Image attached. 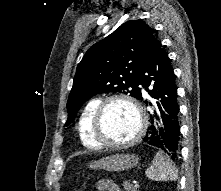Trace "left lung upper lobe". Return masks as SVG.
Returning a JSON list of instances; mask_svg holds the SVG:
<instances>
[{
	"label": "left lung upper lobe",
	"mask_w": 221,
	"mask_h": 191,
	"mask_svg": "<svg viewBox=\"0 0 221 191\" xmlns=\"http://www.w3.org/2000/svg\"><path fill=\"white\" fill-rule=\"evenodd\" d=\"M154 39L151 27L142 20H133L89 48L76 69L66 125L97 94L119 92L138 99L139 73Z\"/></svg>",
	"instance_id": "5c2ea615"
}]
</instances>
